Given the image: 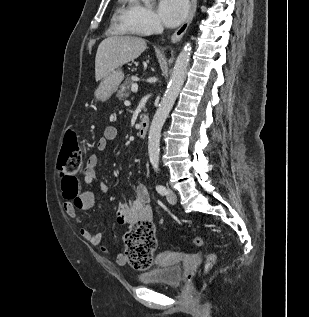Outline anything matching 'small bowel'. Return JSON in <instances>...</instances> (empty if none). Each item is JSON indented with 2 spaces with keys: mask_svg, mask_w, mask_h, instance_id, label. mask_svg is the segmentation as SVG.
Returning a JSON list of instances; mask_svg holds the SVG:
<instances>
[{
  "mask_svg": "<svg viewBox=\"0 0 309 317\" xmlns=\"http://www.w3.org/2000/svg\"><path fill=\"white\" fill-rule=\"evenodd\" d=\"M117 134V129L114 126L106 127L103 136L97 141V151H104L108 142L117 138ZM97 165L98 156L96 154L89 155L82 171L84 189H82L76 177L69 180L66 184L62 183L64 210L75 223L81 226L80 235L85 240L93 246L99 247L102 252L111 256L117 264L124 265L127 261V256L121 252H113L104 245L102 234L93 231L89 224L84 223L80 215L81 211L89 210L94 206L95 195L90 187L97 181ZM152 217L151 198L145 185H138L135 198L119 204L116 208V218L120 224L134 223L140 220L151 222Z\"/></svg>",
  "mask_w": 309,
  "mask_h": 317,
  "instance_id": "1",
  "label": "small bowel"
}]
</instances>
